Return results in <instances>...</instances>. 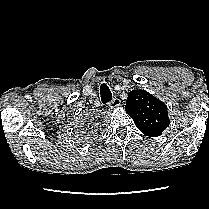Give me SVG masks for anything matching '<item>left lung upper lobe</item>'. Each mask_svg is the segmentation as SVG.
Returning a JSON list of instances; mask_svg holds the SVG:
<instances>
[{
	"label": "left lung upper lobe",
	"mask_w": 209,
	"mask_h": 209,
	"mask_svg": "<svg viewBox=\"0 0 209 209\" xmlns=\"http://www.w3.org/2000/svg\"><path fill=\"white\" fill-rule=\"evenodd\" d=\"M125 110L136 127L149 137L161 135L170 123L166 105L145 90L130 91Z\"/></svg>",
	"instance_id": "5c2ea615"
}]
</instances>
